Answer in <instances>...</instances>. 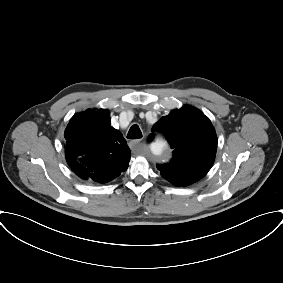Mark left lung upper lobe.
<instances>
[{
	"instance_id": "5c2ea615",
	"label": "left lung upper lobe",
	"mask_w": 283,
	"mask_h": 283,
	"mask_svg": "<svg viewBox=\"0 0 283 283\" xmlns=\"http://www.w3.org/2000/svg\"><path fill=\"white\" fill-rule=\"evenodd\" d=\"M153 130L162 132L173 148L171 162L157 165L163 178L176 186H186L207 174L215 159L217 137L201 111L184 106L162 117Z\"/></svg>"
}]
</instances>
